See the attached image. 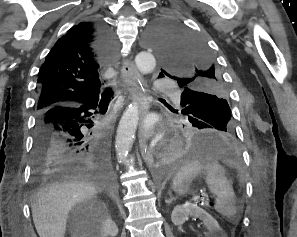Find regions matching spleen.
<instances>
[{
    "instance_id": "spleen-1",
    "label": "spleen",
    "mask_w": 297,
    "mask_h": 237,
    "mask_svg": "<svg viewBox=\"0 0 297 237\" xmlns=\"http://www.w3.org/2000/svg\"><path fill=\"white\" fill-rule=\"evenodd\" d=\"M201 174L205 176L209 191L217 197L215 210L222 216L232 219L236 214L235 194L224 169L217 160L202 158L188 161L174 177L173 185L191 181Z\"/></svg>"
}]
</instances>
